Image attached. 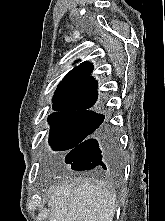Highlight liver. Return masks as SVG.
<instances>
[{
  "mask_svg": "<svg viewBox=\"0 0 165 221\" xmlns=\"http://www.w3.org/2000/svg\"><path fill=\"white\" fill-rule=\"evenodd\" d=\"M50 221H113L115 195L103 183L65 180L51 191Z\"/></svg>",
  "mask_w": 165,
  "mask_h": 221,
  "instance_id": "6515ba94",
  "label": "liver"
}]
</instances>
